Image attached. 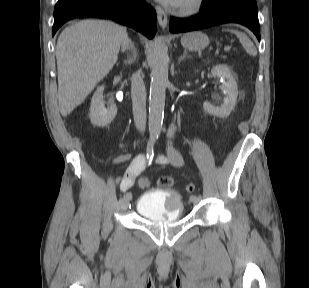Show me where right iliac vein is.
Segmentation results:
<instances>
[{
  "mask_svg": "<svg viewBox=\"0 0 309 288\" xmlns=\"http://www.w3.org/2000/svg\"><path fill=\"white\" fill-rule=\"evenodd\" d=\"M130 199H126L124 196L120 199L119 204L121 209H126L128 207Z\"/></svg>",
  "mask_w": 309,
  "mask_h": 288,
  "instance_id": "right-iliac-vein-1",
  "label": "right iliac vein"
}]
</instances>
